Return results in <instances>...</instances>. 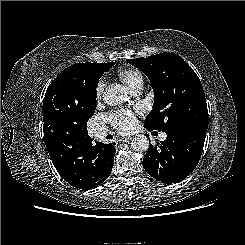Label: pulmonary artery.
<instances>
[{
    "label": "pulmonary artery",
    "mask_w": 245,
    "mask_h": 245,
    "mask_svg": "<svg viewBox=\"0 0 245 245\" xmlns=\"http://www.w3.org/2000/svg\"><path fill=\"white\" fill-rule=\"evenodd\" d=\"M141 88H142V86L136 88V89L133 91V93L137 94ZM105 134H106V129L103 128V127H99V128H97V129L95 130V136H96L97 138H102ZM166 136H167V135H166L165 133H162L161 136H160L161 140H165V139H166Z\"/></svg>",
    "instance_id": "1"
}]
</instances>
